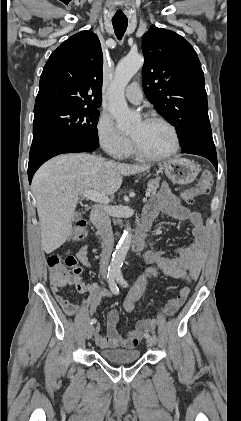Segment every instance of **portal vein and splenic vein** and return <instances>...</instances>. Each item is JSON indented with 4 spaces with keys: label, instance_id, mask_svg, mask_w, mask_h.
Wrapping results in <instances>:
<instances>
[{
    "label": "portal vein and splenic vein",
    "instance_id": "obj_1",
    "mask_svg": "<svg viewBox=\"0 0 241 421\" xmlns=\"http://www.w3.org/2000/svg\"><path fill=\"white\" fill-rule=\"evenodd\" d=\"M82 195L94 202H99L103 204H108L110 202V198L108 196L100 194L95 190L86 191ZM148 196H150V191L146 192V198H144L143 200L146 201Z\"/></svg>",
    "mask_w": 241,
    "mask_h": 421
}]
</instances>
